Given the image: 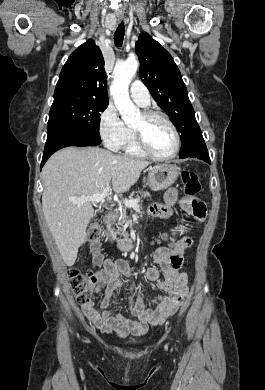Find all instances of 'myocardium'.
Listing matches in <instances>:
<instances>
[{"mask_svg": "<svg viewBox=\"0 0 265 390\" xmlns=\"http://www.w3.org/2000/svg\"><path fill=\"white\" fill-rule=\"evenodd\" d=\"M142 116L146 121H150L153 119H160V120L164 121L173 132L175 144H174V148L170 154H168L166 156L158 155L155 152H153L151 150V148L148 146L146 139H145V136H144V133L139 129L133 128L136 142H137L139 148L141 149V151L146 156H148L152 159L158 160V161H170V160L174 159L178 155V153L180 151V147H181L180 133H179L177 127L175 126V124L165 114H163L159 111L147 110V111H144L142 113Z\"/></svg>", "mask_w": 265, "mask_h": 390, "instance_id": "myocardium-1", "label": "myocardium"}]
</instances>
